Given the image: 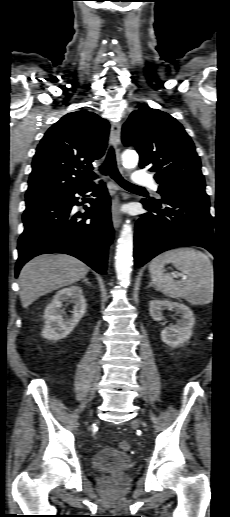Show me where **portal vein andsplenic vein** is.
Returning a JSON list of instances; mask_svg holds the SVG:
<instances>
[{
	"instance_id": "portal-vein-and-splenic-vein-1",
	"label": "portal vein and splenic vein",
	"mask_w": 230,
	"mask_h": 517,
	"mask_svg": "<svg viewBox=\"0 0 230 517\" xmlns=\"http://www.w3.org/2000/svg\"><path fill=\"white\" fill-rule=\"evenodd\" d=\"M180 276L182 277V279H185V278H186V276H185V275L180 274Z\"/></svg>"
}]
</instances>
